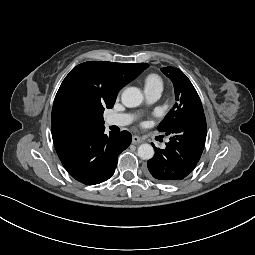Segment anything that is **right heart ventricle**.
<instances>
[{
    "mask_svg": "<svg viewBox=\"0 0 255 255\" xmlns=\"http://www.w3.org/2000/svg\"><path fill=\"white\" fill-rule=\"evenodd\" d=\"M163 85H164L163 80L158 74L151 73L144 78L145 91L150 90L162 91Z\"/></svg>",
    "mask_w": 255,
    "mask_h": 255,
    "instance_id": "obj_1",
    "label": "right heart ventricle"
}]
</instances>
